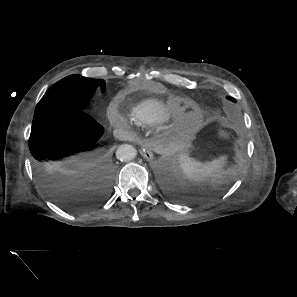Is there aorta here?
Here are the masks:
<instances>
[{"label":"aorta","mask_w":297,"mask_h":297,"mask_svg":"<svg viewBox=\"0 0 297 297\" xmlns=\"http://www.w3.org/2000/svg\"><path fill=\"white\" fill-rule=\"evenodd\" d=\"M136 154V149L129 144L121 145L116 151V157L121 161H130L135 158Z\"/></svg>","instance_id":"obj_1"}]
</instances>
